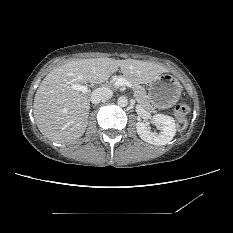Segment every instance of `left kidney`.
Masks as SVG:
<instances>
[{"label":"left kidney","instance_id":"5707ae66","mask_svg":"<svg viewBox=\"0 0 233 233\" xmlns=\"http://www.w3.org/2000/svg\"><path fill=\"white\" fill-rule=\"evenodd\" d=\"M152 123L163 125L161 133L151 132L149 126L144 122H137V133L142 140L153 145H165L172 140L176 133L174 118L163 114H156L152 117Z\"/></svg>","mask_w":233,"mask_h":233}]
</instances>
